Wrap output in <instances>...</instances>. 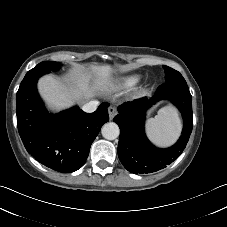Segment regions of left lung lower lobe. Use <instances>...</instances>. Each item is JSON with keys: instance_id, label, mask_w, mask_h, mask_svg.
<instances>
[{"instance_id": "1", "label": "left lung lower lobe", "mask_w": 227, "mask_h": 227, "mask_svg": "<svg viewBox=\"0 0 227 227\" xmlns=\"http://www.w3.org/2000/svg\"><path fill=\"white\" fill-rule=\"evenodd\" d=\"M170 100L182 113L184 126L179 140L170 148L159 149L149 142L144 131L146 111L159 100ZM113 121L119 125L118 157L131 173H152L171 164L183 152L193 127L192 96L186 83H163L151 100L147 98L118 107Z\"/></svg>"}]
</instances>
